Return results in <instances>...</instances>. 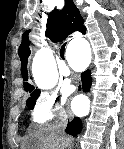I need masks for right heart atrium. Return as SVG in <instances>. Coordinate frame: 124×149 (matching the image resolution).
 Wrapping results in <instances>:
<instances>
[{"label":"right heart atrium","mask_w":124,"mask_h":149,"mask_svg":"<svg viewBox=\"0 0 124 149\" xmlns=\"http://www.w3.org/2000/svg\"><path fill=\"white\" fill-rule=\"evenodd\" d=\"M63 103L52 95L42 94L37 97L31 111V120L36 125L49 123L55 115H63Z\"/></svg>","instance_id":"1"}]
</instances>
